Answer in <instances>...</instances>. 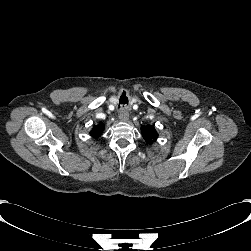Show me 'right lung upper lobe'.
I'll return each mask as SVG.
<instances>
[{
    "mask_svg": "<svg viewBox=\"0 0 251 251\" xmlns=\"http://www.w3.org/2000/svg\"><path fill=\"white\" fill-rule=\"evenodd\" d=\"M103 124L100 123L98 124L97 126H94L92 131H91V135L94 137V138H97L101 135V133L103 132Z\"/></svg>",
    "mask_w": 251,
    "mask_h": 251,
    "instance_id": "cb5924a9",
    "label": "right lung upper lobe"
}]
</instances>
